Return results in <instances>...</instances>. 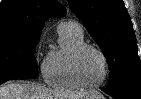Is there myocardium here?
Segmentation results:
<instances>
[{
	"mask_svg": "<svg viewBox=\"0 0 141 99\" xmlns=\"http://www.w3.org/2000/svg\"><path fill=\"white\" fill-rule=\"evenodd\" d=\"M89 49L96 51L102 57L103 62H104V68H105L104 76L102 80L96 84H89L85 82L81 76L80 60H81L83 53ZM71 63H72V72H73V76L75 80L81 87H84V88L97 89L101 87L107 81L109 74H110L109 60H108L106 53L100 47L93 45V44L83 43L80 46H78L72 55Z\"/></svg>",
	"mask_w": 141,
	"mask_h": 99,
	"instance_id": "1",
	"label": "myocardium"
}]
</instances>
